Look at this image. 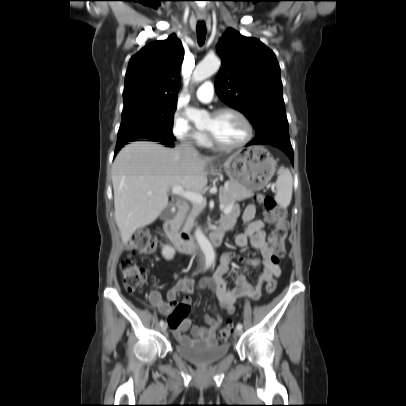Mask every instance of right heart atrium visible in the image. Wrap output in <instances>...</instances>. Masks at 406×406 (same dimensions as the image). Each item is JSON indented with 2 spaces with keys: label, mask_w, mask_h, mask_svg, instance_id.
Returning a JSON list of instances; mask_svg holds the SVG:
<instances>
[{
  "label": "right heart atrium",
  "mask_w": 406,
  "mask_h": 406,
  "mask_svg": "<svg viewBox=\"0 0 406 406\" xmlns=\"http://www.w3.org/2000/svg\"><path fill=\"white\" fill-rule=\"evenodd\" d=\"M172 132L178 140L184 143L201 144L206 137L204 132L195 129L186 116L178 111L172 118Z\"/></svg>",
  "instance_id": "d8ad5b80"
}]
</instances>
